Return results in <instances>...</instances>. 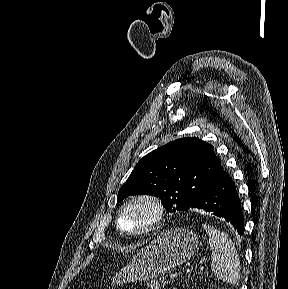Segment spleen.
Wrapping results in <instances>:
<instances>
[{
    "mask_svg": "<svg viewBox=\"0 0 288 289\" xmlns=\"http://www.w3.org/2000/svg\"><path fill=\"white\" fill-rule=\"evenodd\" d=\"M212 250L211 270L219 280L236 285L240 279V260L233 242L224 232L203 225Z\"/></svg>",
    "mask_w": 288,
    "mask_h": 289,
    "instance_id": "obj_1",
    "label": "spleen"
}]
</instances>
